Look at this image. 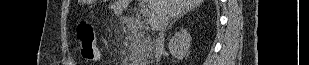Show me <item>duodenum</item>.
I'll return each instance as SVG.
<instances>
[{
    "label": "duodenum",
    "instance_id": "410a0bca",
    "mask_svg": "<svg viewBox=\"0 0 309 65\" xmlns=\"http://www.w3.org/2000/svg\"><path fill=\"white\" fill-rule=\"evenodd\" d=\"M124 24L126 25L127 30L132 33H137L141 29L139 21L131 17H125Z\"/></svg>",
    "mask_w": 309,
    "mask_h": 65
}]
</instances>
